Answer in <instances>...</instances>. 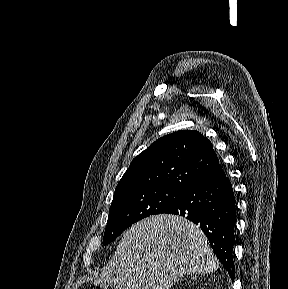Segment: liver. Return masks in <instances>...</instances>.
Returning a JSON list of instances; mask_svg holds the SVG:
<instances>
[{
    "label": "liver",
    "mask_w": 288,
    "mask_h": 289,
    "mask_svg": "<svg viewBox=\"0 0 288 289\" xmlns=\"http://www.w3.org/2000/svg\"><path fill=\"white\" fill-rule=\"evenodd\" d=\"M219 261L207 238L181 216L159 214L132 225L95 285L115 289H169L179 278L216 271Z\"/></svg>",
    "instance_id": "liver-1"
}]
</instances>
